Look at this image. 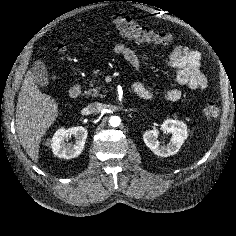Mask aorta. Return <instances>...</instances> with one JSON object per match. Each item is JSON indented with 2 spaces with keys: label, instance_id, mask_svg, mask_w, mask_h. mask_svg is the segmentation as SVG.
Segmentation results:
<instances>
[{
  "label": "aorta",
  "instance_id": "1",
  "mask_svg": "<svg viewBox=\"0 0 236 236\" xmlns=\"http://www.w3.org/2000/svg\"><path fill=\"white\" fill-rule=\"evenodd\" d=\"M120 123H121V119H120V117H118V116H112V117H110V119H109V124H110L112 127H117V126L120 125Z\"/></svg>",
  "mask_w": 236,
  "mask_h": 236
}]
</instances>
